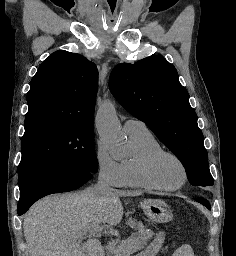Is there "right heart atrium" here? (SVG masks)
I'll list each match as a JSON object with an SVG mask.
<instances>
[{
    "instance_id": "right-heart-atrium-1",
    "label": "right heart atrium",
    "mask_w": 236,
    "mask_h": 256,
    "mask_svg": "<svg viewBox=\"0 0 236 256\" xmlns=\"http://www.w3.org/2000/svg\"><path fill=\"white\" fill-rule=\"evenodd\" d=\"M94 162L97 175L101 181L115 188L125 186L122 163L108 152L100 140L97 142L94 150Z\"/></svg>"
}]
</instances>
